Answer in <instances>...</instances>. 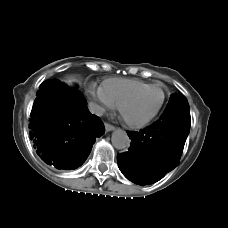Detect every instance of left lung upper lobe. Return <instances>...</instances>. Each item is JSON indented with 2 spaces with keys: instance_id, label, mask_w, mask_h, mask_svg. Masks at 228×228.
Segmentation results:
<instances>
[{
  "instance_id": "left-lung-upper-lobe-1",
  "label": "left lung upper lobe",
  "mask_w": 228,
  "mask_h": 228,
  "mask_svg": "<svg viewBox=\"0 0 228 228\" xmlns=\"http://www.w3.org/2000/svg\"><path fill=\"white\" fill-rule=\"evenodd\" d=\"M161 117H171L175 119L190 118V107L186 97L180 93L172 94Z\"/></svg>"
}]
</instances>
